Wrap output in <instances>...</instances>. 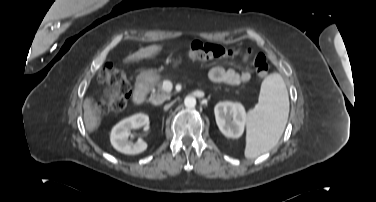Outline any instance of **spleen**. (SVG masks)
<instances>
[{"label":"spleen","instance_id":"3e777b00","mask_svg":"<svg viewBox=\"0 0 376 202\" xmlns=\"http://www.w3.org/2000/svg\"><path fill=\"white\" fill-rule=\"evenodd\" d=\"M289 114L286 85L279 73L268 75L262 82L258 104L248 112L246 158H256L279 141Z\"/></svg>","mask_w":376,"mask_h":202}]
</instances>
